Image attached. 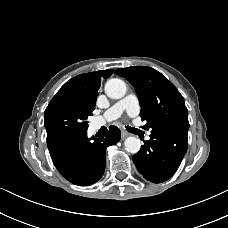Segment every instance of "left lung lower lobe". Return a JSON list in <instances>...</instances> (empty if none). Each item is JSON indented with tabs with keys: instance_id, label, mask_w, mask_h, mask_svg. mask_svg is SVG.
I'll use <instances>...</instances> for the list:
<instances>
[{
	"instance_id": "left-lung-lower-lobe-1",
	"label": "left lung lower lobe",
	"mask_w": 228,
	"mask_h": 228,
	"mask_svg": "<svg viewBox=\"0 0 228 228\" xmlns=\"http://www.w3.org/2000/svg\"><path fill=\"white\" fill-rule=\"evenodd\" d=\"M188 147L187 134L176 130L151 131L133 161L145 179L161 183L171 178L179 168Z\"/></svg>"
}]
</instances>
